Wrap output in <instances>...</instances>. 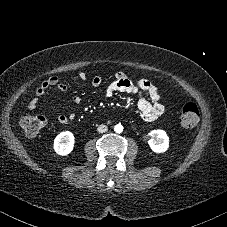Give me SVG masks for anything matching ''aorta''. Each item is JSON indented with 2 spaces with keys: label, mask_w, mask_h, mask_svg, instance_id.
<instances>
[{
  "label": "aorta",
  "mask_w": 227,
  "mask_h": 227,
  "mask_svg": "<svg viewBox=\"0 0 227 227\" xmlns=\"http://www.w3.org/2000/svg\"><path fill=\"white\" fill-rule=\"evenodd\" d=\"M114 130L116 133H122L123 132V126L121 124L115 125Z\"/></svg>",
  "instance_id": "aorta-1"
}]
</instances>
